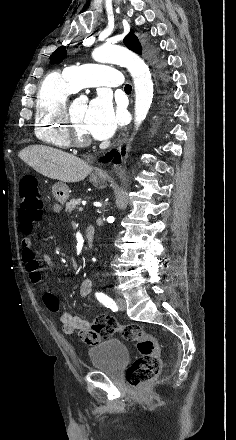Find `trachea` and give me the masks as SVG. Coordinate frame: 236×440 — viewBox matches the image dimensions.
<instances>
[{
  "instance_id": "trachea-1",
  "label": "trachea",
  "mask_w": 236,
  "mask_h": 440,
  "mask_svg": "<svg viewBox=\"0 0 236 440\" xmlns=\"http://www.w3.org/2000/svg\"><path fill=\"white\" fill-rule=\"evenodd\" d=\"M131 90H132V86L129 85V84H127V85L125 86V91H131Z\"/></svg>"
}]
</instances>
